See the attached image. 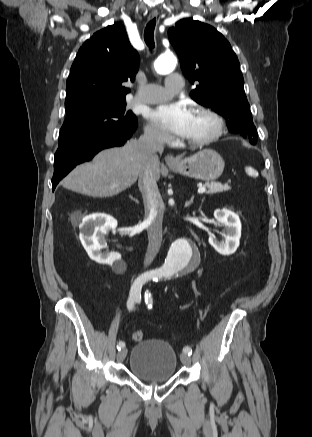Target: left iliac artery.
Segmentation results:
<instances>
[{"label":"left iliac artery","mask_w":312,"mask_h":437,"mask_svg":"<svg viewBox=\"0 0 312 437\" xmlns=\"http://www.w3.org/2000/svg\"><path fill=\"white\" fill-rule=\"evenodd\" d=\"M153 280L158 281L157 277H155ZM145 302L148 305V308H152L153 300L151 293L146 290L145 292ZM183 352L187 353L189 356L192 354V348L190 346H185L183 348Z\"/></svg>","instance_id":"1"}]
</instances>
